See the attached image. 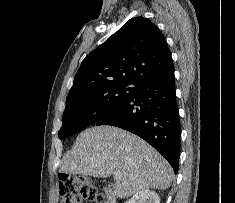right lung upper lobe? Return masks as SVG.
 <instances>
[{"label":"right lung upper lobe","instance_id":"1","mask_svg":"<svg viewBox=\"0 0 235 203\" xmlns=\"http://www.w3.org/2000/svg\"><path fill=\"white\" fill-rule=\"evenodd\" d=\"M171 65L170 51L157 26L143 17L131 18L86 56L69 93L111 80L140 83Z\"/></svg>","mask_w":235,"mask_h":203}]
</instances>
